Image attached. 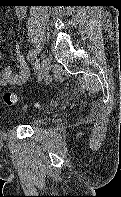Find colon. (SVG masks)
I'll list each match as a JSON object with an SVG mask.
<instances>
[{
  "mask_svg": "<svg viewBox=\"0 0 121 197\" xmlns=\"http://www.w3.org/2000/svg\"><path fill=\"white\" fill-rule=\"evenodd\" d=\"M3 101L8 106H13L17 103V96L14 93L6 92L3 95Z\"/></svg>",
  "mask_w": 121,
  "mask_h": 197,
  "instance_id": "5ec220e1",
  "label": "colon"
}]
</instances>
